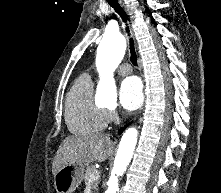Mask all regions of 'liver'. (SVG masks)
<instances>
[{
	"label": "liver",
	"instance_id": "obj_1",
	"mask_svg": "<svg viewBox=\"0 0 221 193\" xmlns=\"http://www.w3.org/2000/svg\"><path fill=\"white\" fill-rule=\"evenodd\" d=\"M113 152L110 134L94 133L89 135L68 136L60 144L52 162V173L67 165H82L90 162H103Z\"/></svg>",
	"mask_w": 221,
	"mask_h": 193
}]
</instances>
